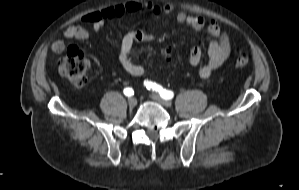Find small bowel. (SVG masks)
<instances>
[{"label": "small bowel", "instance_id": "c3829d8e", "mask_svg": "<svg viewBox=\"0 0 299 190\" xmlns=\"http://www.w3.org/2000/svg\"><path fill=\"white\" fill-rule=\"evenodd\" d=\"M148 13L154 16L174 15L179 23L186 24L194 30H204L208 45L207 61L199 68L201 78H209L218 70L230 57L232 52L231 40L215 20L206 21L198 15H188L181 10H176L172 4L163 7L153 2H130L122 5L109 6L101 10L86 13L82 20L89 24L95 32L104 29L108 20L120 18L126 14ZM90 35V31L83 26H70L63 33V39H59L52 44V51L61 53L66 48V41L72 39L84 40ZM152 34L147 26L137 27L128 32L122 39L119 50V62L126 72L132 76H142L146 70L143 66L137 65L130 59V53L134 45L138 42L149 40ZM202 59V48L200 45L192 47L189 54V64L197 66Z\"/></svg>", "mask_w": 299, "mask_h": 190}]
</instances>
